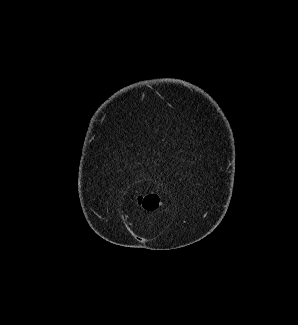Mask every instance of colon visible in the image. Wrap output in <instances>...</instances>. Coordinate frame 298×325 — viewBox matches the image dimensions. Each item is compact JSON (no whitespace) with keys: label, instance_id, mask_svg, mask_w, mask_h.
I'll use <instances>...</instances> for the list:
<instances>
[{"label":"colon","instance_id":"colon-1","mask_svg":"<svg viewBox=\"0 0 298 325\" xmlns=\"http://www.w3.org/2000/svg\"><path fill=\"white\" fill-rule=\"evenodd\" d=\"M162 197L159 193L156 192H150V193H144L140 194L136 202L139 207H141L144 210L147 211H154L159 208L161 204Z\"/></svg>","mask_w":298,"mask_h":325}]
</instances>
